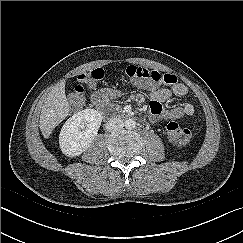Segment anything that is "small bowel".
<instances>
[{
	"label": "small bowel",
	"instance_id": "c3829d8e",
	"mask_svg": "<svg viewBox=\"0 0 243 243\" xmlns=\"http://www.w3.org/2000/svg\"><path fill=\"white\" fill-rule=\"evenodd\" d=\"M135 85L141 89L147 90L149 93V97L151 99L149 105V117L152 121H156L161 118L179 119L192 116L194 113V107L191 104H184L170 109L165 107V104L169 102L173 95L184 96L187 94L188 89L182 83L175 84L171 88H158L152 85L140 83H135ZM94 87L95 84H90V88ZM117 94L116 90H98L93 93L92 100L94 103H97L98 100L107 101L108 98H113Z\"/></svg>",
	"mask_w": 243,
	"mask_h": 243
}]
</instances>
